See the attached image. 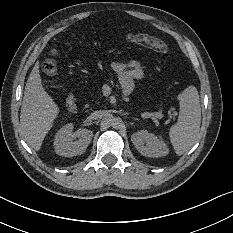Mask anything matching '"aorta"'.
Segmentation results:
<instances>
[{"instance_id": "762f6f07", "label": "aorta", "mask_w": 233, "mask_h": 233, "mask_svg": "<svg viewBox=\"0 0 233 233\" xmlns=\"http://www.w3.org/2000/svg\"><path fill=\"white\" fill-rule=\"evenodd\" d=\"M111 124H112V126L116 127V125L118 124V122L115 119H112Z\"/></svg>"}]
</instances>
